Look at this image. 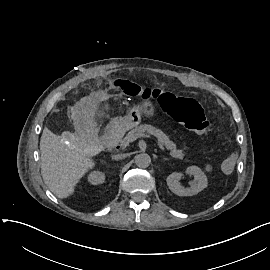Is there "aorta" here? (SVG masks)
Returning a JSON list of instances; mask_svg holds the SVG:
<instances>
[{
    "instance_id": "obj_1",
    "label": "aorta",
    "mask_w": 270,
    "mask_h": 270,
    "mask_svg": "<svg viewBox=\"0 0 270 270\" xmlns=\"http://www.w3.org/2000/svg\"><path fill=\"white\" fill-rule=\"evenodd\" d=\"M151 163V158L147 153H140L135 156V164L140 168H147Z\"/></svg>"
}]
</instances>
